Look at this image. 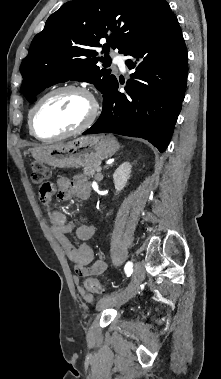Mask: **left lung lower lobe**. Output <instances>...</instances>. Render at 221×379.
<instances>
[{
	"instance_id": "obj_1",
	"label": "left lung lower lobe",
	"mask_w": 221,
	"mask_h": 379,
	"mask_svg": "<svg viewBox=\"0 0 221 379\" xmlns=\"http://www.w3.org/2000/svg\"><path fill=\"white\" fill-rule=\"evenodd\" d=\"M124 55L135 71L126 94L113 81L103 94V110L83 134L106 133L140 137L163 152L171 139L185 96L188 56L178 20L165 1L152 26ZM146 82V83H144Z\"/></svg>"
}]
</instances>
